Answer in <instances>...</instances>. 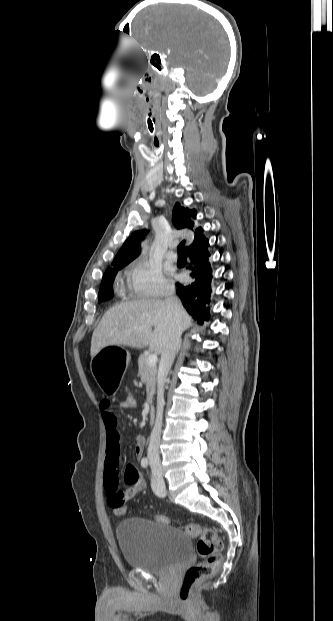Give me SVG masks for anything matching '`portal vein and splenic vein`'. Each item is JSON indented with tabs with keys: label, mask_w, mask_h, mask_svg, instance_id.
Returning <instances> with one entry per match:
<instances>
[{
	"label": "portal vein and splenic vein",
	"mask_w": 333,
	"mask_h": 621,
	"mask_svg": "<svg viewBox=\"0 0 333 621\" xmlns=\"http://www.w3.org/2000/svg\"><path fill=\"white\" fill-rule=\"evenodd\" d=\"M147 362H148V365L155 366L156 363H157V355L156 354H150L148 356Z\"/></svg>",
	"instance_id": "18ae733b"
}]
</instances>
